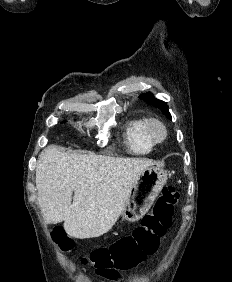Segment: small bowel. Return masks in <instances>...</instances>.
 Listing matches in <instances>:
<instances>
[{
  "instance_id": "obj_1",
  "label": "small bowel",
  "mask_w": 232,
  "mask_h": 282,
  "mask_svg": "<svg viewBox=\"0 0 232 282\" xmlns=\"http://www.w3.org/2000/svg\"><path fill=\"white\" fill-rule=\"evenodd\" d=\"M104 276L107 277L109 280L115 281V282H121L124 279L123 275L118 271H112Z\"/></svg>"
}]
</instances>
